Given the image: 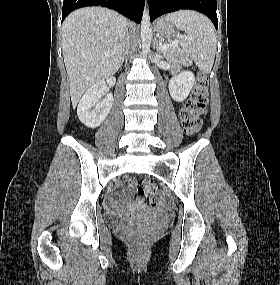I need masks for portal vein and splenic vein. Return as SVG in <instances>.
Segmentation results:
<instances>
[{"mask_svg":"<svg viewBox=\"0 0 280 285\" xmlns=\"http://www.w3.org/2000/svg\"><path fill=\"white\" fill-rule=\"evenodd\" d=\"M178 45H179V41L176 40V41L171 42L170 44L161 45L159 49L164 51V50L168 49L169 47H178Z\"/></svg>","mask_w":280,"mask_h":285,"instance_id":"obj_1","label":"portal vein and splenic vein"}]
</instances>
